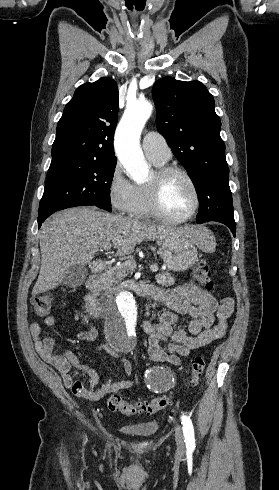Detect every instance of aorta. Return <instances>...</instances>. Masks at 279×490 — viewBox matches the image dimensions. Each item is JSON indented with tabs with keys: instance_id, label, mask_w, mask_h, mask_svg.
I'll list each match as a JSON object with an SVG mask.
<instances>
[{
	"instance_id": "1",
	"label": "aorta",
	"mask_w": 279,
	"mask_h": 490,
	"mask_svg": "<svg viewBox=\"0 0 279 490\" xmlns=\"http://www.w3.org/2000/svg\"><path fill=\"white\" fill-rule=\"evenodd\" d=\"M153 106L149 101H136L126 106L114 136L116 155L129 176L144 181L149 166L140 147V136ZM138 309L135 297L129 291L117 292L108 302L105 332L117 348L131 347L137 336Z\"/></svg>"
}]
</instances>
